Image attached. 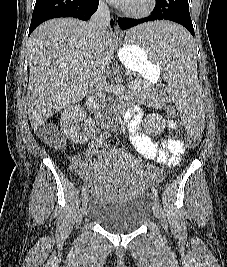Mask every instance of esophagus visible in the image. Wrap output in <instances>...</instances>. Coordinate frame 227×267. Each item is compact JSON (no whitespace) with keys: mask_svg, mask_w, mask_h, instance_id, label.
<instances>
[{"mask_svg":"<svg viewBox=\"0 0 227 267\" xmlns=\"http://www.w3.org/2000/svg\"><path fill=\"white\" fill-rule=\"evenodd\" d=\"M115 33H116V35H119V34H120V30H119V28H118L117 25H116V27H115Z\"/></svg>","mask_w":227,"mask_h":267,"instance_id":"esophagus-1","label":"esophagus"}]
</instances>
